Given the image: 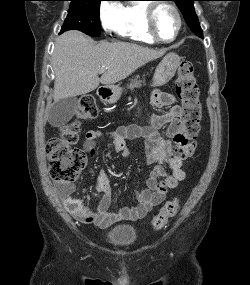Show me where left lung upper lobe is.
Instances as JSON below:
<instances>
[{
    "label": "left lung upper lobe",
    "instance_id": "5c2ea615",
    "mask_svg": "<svg viewBox=\"0 0 250 285\" xmlns=\"http://www.w3.org/2000/svg\"><path fill=\"white\" fill-rule=\"evenodd\" d=\"M174 1L182 14L190 29L199 37L203 38L202 29L200 27L197 15L195 13L193 1L195 0H172Z\"/></svg>",
    "mask_w": 250,
    "mask_h": 285
}]
</instances>
